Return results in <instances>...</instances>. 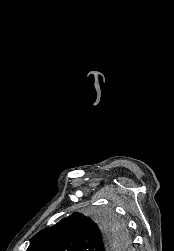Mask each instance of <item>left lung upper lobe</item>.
Returning a JSON list of instances; mask_svg holds the SVG:
<instances>
[{"mask_svg":"<svg viewBox=\"0 0 174 251\" xmlns=\"http://www.w3.org/2000/svg\"><path fill=\"white\" fill-rule=\"evenodd\" d=\"M129 245L127 227L112 215L73 213L37 233L27 251H123Z\"/></svg>","mask_w":174,"mask_h":251,"instance_id":"obj_1","label":"left lung upper lobe"}]
</instances>
